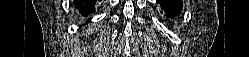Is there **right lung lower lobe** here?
<instances>
[{
	"mask_svg": "<svg viewBox=\"0 0 249 57\" xmlns=\"http://www.w3.org/2000/svg\"><path fill=\"white\" fill-rule=\"evenodd\" d=\"M75 6L81 14L88 16V14L95 11V0H78Z\"/></svg>",
	"mask_w": 249,
	"mask_h": 57,
	"instance_id": "obj_1",
	"label": "right lung lower lobe"
}]
</instances>
